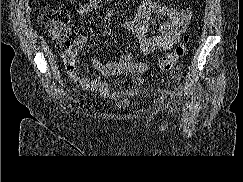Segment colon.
<instances>
[{
  "mask_svg": "<svg viewBox=\"0 0 243 182\" xmlns=\"http://www.w3.org/2000/svg\"><path fill=\"white\" fill-rule=\"evenodd\" d=\"M39 20L47 33L52 37L55 48L64 58L74 55V32L69 27V15L63 9H45L39 13ZM190 35L186 34L183 41L172 52L164 55L158 61L157 68L160 72L171 70L177 61L184 56Z\"/></svg>",
  "mask_w": 243,
  "mask_h": 182,
  "instance_id": "obj_1",
  "label": "colon"
}]
</instances>
